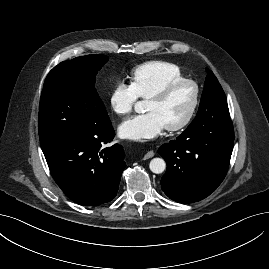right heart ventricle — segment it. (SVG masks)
Segmentation results:
<instances>
[{
    "label": "right heart ventricle",
    "instance_id": "1",
    "mask_svg": "<svg viewBox=\"0 0 269 269\" xmlns=\"http://www.w3.org/2000/svg\"><path fill=\"white\" fill-rule=\"evenodd\" d=\"M180 68L172 63L150 61L133 69L131 85L138 97L146 99L170 81L183 79Z\"/></svg>",
    "mask_w": 269,
    "mask_h": 269
}]
</instances>
